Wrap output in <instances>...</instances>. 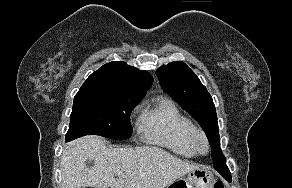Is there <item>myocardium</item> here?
Listing matches in <instances>:
<instances>
[{
  "instance_id": "myocardium-1",
  "label": "myocardium",
  "mask_w": 292,
  "mask_h": 188,
  "mask_svg": "<svg viewBox=\"0 0 292 188\" xmlns=\"http://www.w3.org/2000/svg\"><path fill=\"white\" fill-rule=\"evenodd\" d=\"M189 141L193 150L198 154H206L210 150V143L206 133L194 127L189 134Z\"/></svg>"
}]
</instances>
